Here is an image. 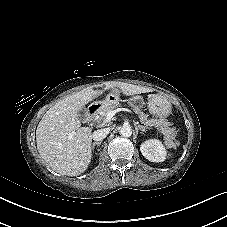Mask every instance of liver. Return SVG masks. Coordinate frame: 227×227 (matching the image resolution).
<instances>
[{"instance_id": "1", "label": "liver", "mask_w": 227, "mask_h": 227, "mask_svg": "<svg viewBox=\"0 0 227 227\" xmlns=\"http://www.w3.org/2000/svg\"><path fill=\"white\" fill-rule=\"evenodd\" d=\"M119 88L126 96L149 92L138 85L110 82L105 89ZM94 98L92 88L67 96L52 106L36 130L37 149L44 162L55 172L77 176L88 168L92 152V129L81 127L79 111Z\"/></svg>"}]
</instances>
